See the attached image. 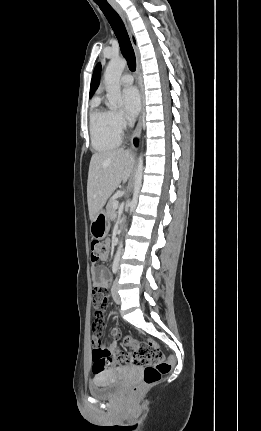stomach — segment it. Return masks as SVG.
<instances>
[{"mask_svg": "<svg viewBox=\"0 0 261 431\" xmlns=\"http://www.w3.org/2000/svg\"><path fill=\"white\" fill-rule=\"evenodd\" d=\"M110 229V220L105 210L101 209L91 221L90 233L93 238L103 239Z\"/></svg>", "mask_w": 261, "mask_h": 431, "instance_id": "stomach-1", "label": "stomach"}]
</instances>
